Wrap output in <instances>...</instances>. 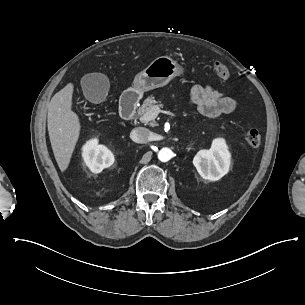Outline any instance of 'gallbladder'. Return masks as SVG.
Listing matches in <instances>:
<instances>
[{"instance_id": "bac80fb5", "label": "gallbladder", "mask_w": 305, "mask_h": 305, "mask_svg": "<svg viewBox=\"0 0 305 305\" xmlns=\"http://www.w3.org/2000/svg\"><path fill=\"white\" fill-rule=\"evenodd\" d=\"M81 87L85 98L95 104L105 101L110 82L102 73H89L81 78Z\"/></svg>"}]
</instances>
